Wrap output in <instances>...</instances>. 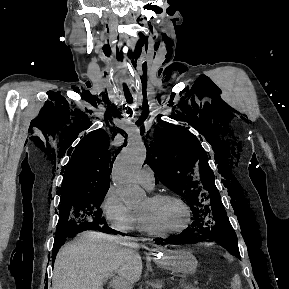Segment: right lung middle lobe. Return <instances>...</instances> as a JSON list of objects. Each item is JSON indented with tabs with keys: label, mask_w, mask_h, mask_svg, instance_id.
<instances>
[{
	"label": "right lung middle lobe",
	"mask_w": 289,
	"mask_h": 289,
	"mask_svg": "<svg viewBox=\"0 0 289 289\" xmlns=\"http://www.w3.org/2000/svg\"><path fill=\"white\" fill-rule=\"evenodd\" d=\"M108 190L61 197L59 223L55 236L101 227L105 223L100 205Z\"/></svg>",
	"instance_id": "1"
}]
</instances>
